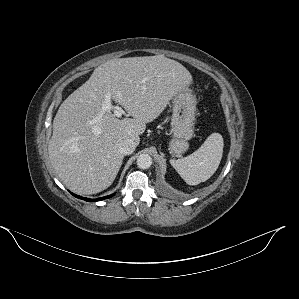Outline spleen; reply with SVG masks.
<instances>
[{
  "label": "spleen",
  "mask_w": 299,
  "mask_h": 299,
  "mask_svg": "<svg viewBox=\"0 0 299 299\" xmlns=\"http://www.w3.org/2000/svg\"><path fill=\"white\" fill-rule=\"evenodd\" d=\"M223 138L212 133L201 147L187 157L170 160L173 168L189 185H198L208 180L217 170L223 154Z\"/></svg>",
  "instance_id": "obj_1"
}]
</instances>
